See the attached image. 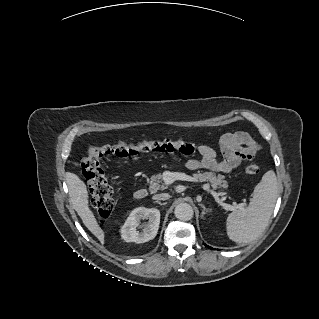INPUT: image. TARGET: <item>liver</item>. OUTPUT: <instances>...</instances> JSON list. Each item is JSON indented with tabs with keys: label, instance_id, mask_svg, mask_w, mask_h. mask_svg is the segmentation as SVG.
<instances>
[{
	"label": "liver",
	"instance_id": "obj_1",
	"mask_svg": "<svg viewBox=\"0 0 319 319\" xmlns=\"http://www.w3.org/2000/svg\"><path fill=\"white\" fill-rule=\"evenodd\" d=\"M67 184L74 209L88 230L104 243V231L99 226L93 212L89 208V196L85 183L74 173H68Z\"/></svg>",
	"mask_w": 319,
	"mask_h": 319
}]
</instances>
